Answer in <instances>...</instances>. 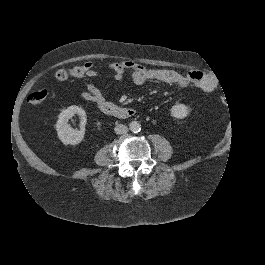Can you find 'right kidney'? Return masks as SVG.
Returning <instances> with one entry per match:
<instances>
[{
	"label": "right kidney",
	"instance_id": "obj_1",
	"mask_svg": "<svg viewBox=\"0 0 265 265\" xmlns=\"http://www.w3.org/2000/svg\"><path fill=\"white\" fill-rule=\"evenodd\" d=\"M75 114L81 116V124H86V115L82 108L77 106H71L68 109L63 110L58 117L56 123V132L59 140L64 145H78L80 144L85 136L84 127H81L80 130L73 129L69 125V119L72 118Z\"/></svg>",
	"mask_w": 265,
	"mask_h": 265
}]
</instances>
